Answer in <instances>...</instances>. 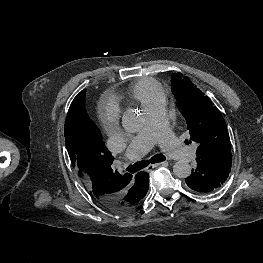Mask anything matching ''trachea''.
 I'll return each mask as SVG.
<instances>
[{
    "instance_id": "1",
    "label": "trachea",
    "mask_w": 263,
    "mask_h": 263,
    "mask_svg": "<svg viewBox=\"0 0 263 263\" xmlns=\"http://www.w3.org/2000/svg\"><path fill=\"white\" fill-rule=\"evenodd\" d=\"M166 159V157L162 154H157L153 157H151L149 160L147 161H140V162H136L133 165H130L126 168V170L130 173H134L137 172L145 167H147L149 165V163H158V162H162Z\"/></svg>"
}]
</instances>
